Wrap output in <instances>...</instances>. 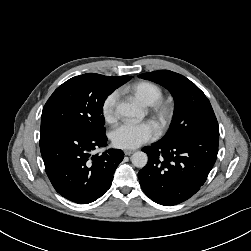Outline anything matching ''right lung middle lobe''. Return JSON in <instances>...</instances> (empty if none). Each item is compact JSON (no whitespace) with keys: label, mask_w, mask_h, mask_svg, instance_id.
Here are the masks:
<instances>
[{"label":"right lung middle lobe","mask_w":251,"mask_h":251,"mask_svg":"<svg viewBox=\"0 0 251 251\" xmlns=\"http://www.w3.org/2000/svg\"><path fill=\"white\" fill-rule=\"evenodd\" d=\"M119 85L108 76L87 73L60 85L46 102L41 129L66 126L85 133L105 132L103 104Z\"/></svg>","instance_id":"1"}]
</instances>
